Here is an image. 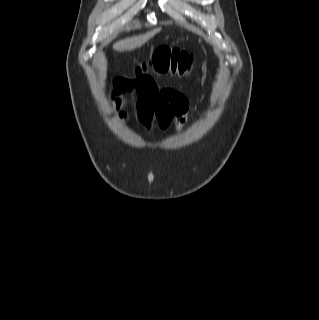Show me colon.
<instances>
[{
  "label": "colon",
  "instance_id": "colon-1",
  "mask_svg": "<svg viewBox=\"0 0 319 320\" xmlns=\"http://www.w3.org/2000/svg\"><path fill=\"white\" fill-rule=\"evenodd\" d=\"M193 62V55L189 52L168 47H161L155 50L148 60L142 62L137 67V79L144 77L145 73L148 71L184 77L191 72ZM124 83L125 81L120 78L115 79V84L117 87H122ZM139 119L148 130H150L155 124H158L161 129L168 127L160 123L154 116L150 114L141 113L139 114Z\"/></svg>",
  "mask_w": 319,
  "mask_h": 320
}]
</instances>
